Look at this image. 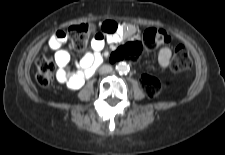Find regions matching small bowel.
<instances>
[{
    "label": "small bowel",
    "instance_id": "small-bowel-1",
    "mask_svg": "<svg viewBox=\"0 0 225 155\" xmlns=\"http://www.w3.org/2000/svg\"><path fill=\"white\" fill-rule=\"evenodd\" d=\"M134 32V28L128 24L106 21L102 24L100 32L96 33L91 41L92 53H87L75 66L70 64L69 53L62 49L70 41V34L65 29L56 30L49 39V46L55 50L54 59L58 66L57 80L72 90L79 89L86 79L91 77L102 61L101 51L106 42H117L123 36ZM172 56L170 47L165 46L158 52V63L161 68L169 66Z\"/></svg>",
    "mask_w": 225,
    "mask_h": 155
}]
</instances>
